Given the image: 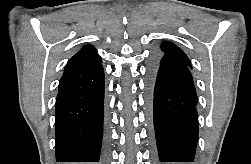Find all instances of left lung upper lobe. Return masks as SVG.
<instances>
[{
  "label": "left lung upper lobe",
  "instance_id": "1",
  "mask_svg": "<svg viewBox=\"0 0 251 164\" xmlns=\"http://www.w3.org/2000/svg\"><path fill=\"white\" fill-rule=\"evenodd\" d=\"M159 56L176 59L191 67L190 60L186 54L171 42H163L158 52Z\"/></svg>",
  "mask_w": 251,
  "mask_h": 164
}]
</instances>
